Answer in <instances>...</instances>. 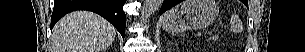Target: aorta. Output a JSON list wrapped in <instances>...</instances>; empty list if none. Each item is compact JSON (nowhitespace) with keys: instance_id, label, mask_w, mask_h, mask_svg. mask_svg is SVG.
Segmentation results:
<instances>
[{"instance_id":"obj_1","label":"aorta","mask_w":305,"mask_h":52,"mask_svg":"<svg viewBox=\"0 0 305 52\" xmlns=\"http://www.w3.org/2000/svg\"><path fill=\"white\" fill-rule=\"evenodd\" d=\"M163 0H144L143 17H150L162 5Z\"/></svg>"}]
</instances>
